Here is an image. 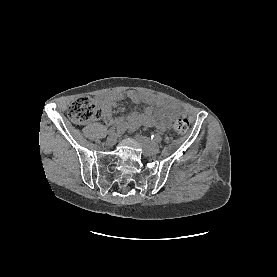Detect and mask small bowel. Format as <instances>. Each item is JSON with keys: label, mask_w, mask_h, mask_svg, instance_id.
I'll return each instance as SVG.
<instances>
[{"label": "small bowel", "mask_w": 277, "mask_h": 277, "mask_svg": "<svg viewBox=\"0 0 277 277\" xmlns=\"http://www.w3.org/2000/svg\"><path fill=\"white\" fill-rule=\"evenodd\" d=\"M124 97L130 98L133 102L144 101L150 106L144 111H132L126 116L116 117L112 116V107L116 101L122 100ZM100 101L106 108L104 121L107 124L121 125L124 121H129L132 125H148L156 126L161 130H166L170 126L172 115L170 112L174 106L167 100L149 94H140L136 91H129L128 93H109L100 98Z\"/></svg>", "instance_id": "small-bowel-1"}]
</instances>
